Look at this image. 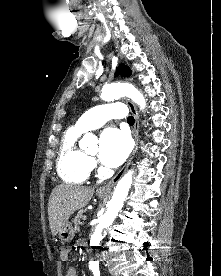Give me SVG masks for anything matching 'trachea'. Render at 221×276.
<instances>
[{
  "label": "trachea",
  "mask_w": 221,
  "mask_h": 276,
  "mask_svg": "<svg viewBox=\"0 0 221 276\" xmlns=\"http://www.w3.org/2000/svg\"><path fill=\"white\" fill-rule=\"evenodd\" d=\"M127 122H128L129 124H134V122H135L134 117H133V116H129V117L127 118Z\"/></svg>",
  "instance_id": "obj_1"
}]
</instances>
